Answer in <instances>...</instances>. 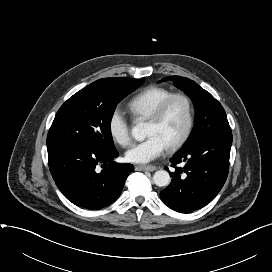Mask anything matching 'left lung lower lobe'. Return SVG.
<instances>
[{
    "mask_svg": "<svg viewBox=\"0 0 272 272\" xmlns=\"http://www.w3.org/2000/svg\"><path fill=\"white\" fill-rule=\"evenodd\" d=\"M232 134L216 135L180 150L171 160L176 171L160 192L171 209L189 213L210 203L223 187L228 171ZM185 163L183 168L176 167ZM167 169V168H166Z\"/></svg>",
    "mask_w": 272,
    "mask_h": 272,
    "instance_id": "0a47b994",
    "label": "left lung lower lobe"
}]
</instances>
